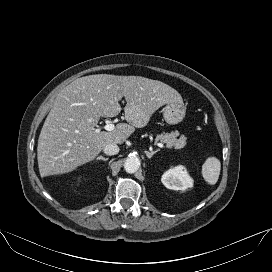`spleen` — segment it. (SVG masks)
<instances>
[{"label": "spleen", "instance_id": "spleen-1", "mask_svg": "<svg viewBox=\"0 0 272 272\" xmlns=\"http://www.w3.org/2000/svg\"><path fill=\"white\" fill-rule=\"evenodd\" d=\"M220 170L221 163L219 159L214 156H210L202 166V176L208 184L214 185L218 181Z\"/></svg>", "mask_w": 272, "mask_h": 272}]
</instances>
